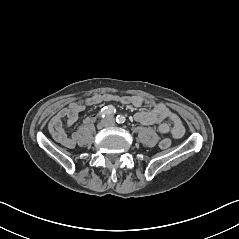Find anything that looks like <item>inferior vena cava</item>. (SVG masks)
I'll return each mask as SVG.
<instances>
[{
	"label": "inferior vena cava",
	"mask_w": 239,
	"mask_h": 239,
	"mask_svg": "<svg viewBox=\"0 0 239 239\" xmlns=\"http://www.w3.org/2000/svg\"><path fill=\"white\" fill-rule=\"evenodd\" d=\"M102 125L104 127H114L116 125V118L114 116H104L102 118Z\"/></svg>",
	"instance_id": "inferior-vena-cava-1"
}]
</instances>
